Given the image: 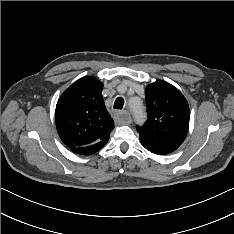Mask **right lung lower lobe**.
I'll use <instances>...</instances> for the list:
<instances>
[{"mask_svg": "<svg viewBox=\"0 0 234 234\" xmlns=\"http://www.w3.org/2000/svg\"><path fill=\"white\" fill-rule=\"evenodd\" d=\"M103 146H105V144L103 145L93 144L90 146L75 148V149H72V151L77 154L90 155L100 150Z\"/></svg>", "mask_w": 234, "mask_h": 234, "instance_id": "98d812e1", "label": "right lung lower lobe"}]
</instances>
